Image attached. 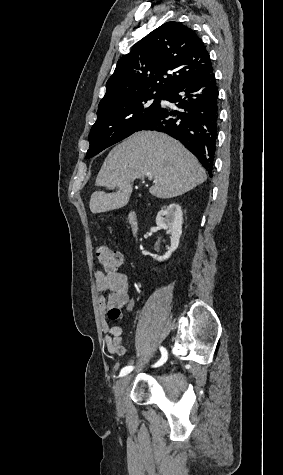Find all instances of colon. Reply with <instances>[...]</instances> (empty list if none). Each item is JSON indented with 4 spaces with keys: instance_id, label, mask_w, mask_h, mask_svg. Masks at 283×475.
Instances as JSON below:
<instances>
[{
    "instance_id": "1",
    "label": "colon",
    "mask_w": 283,
    "mask_h": 475,
    "mask_svg": "<svg viewBox=\"0 0 283 475\" xmlns=\"http://www.w3.org/2000/svg\"><path fill=\"white\" fill-rule=\"evenodd\" d=\"M99 263L109 272H116L122 264L121 254L106 245H100L96 251Z\"/></svg>"
}]
</instances>
